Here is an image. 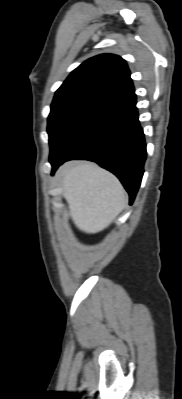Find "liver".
I'll return each instance as SVG.
<instances>
[{
	"mask_svg": "<svg viewBox=\"0 0 182 399\" xmlns=\"http://www.w3.org/2000/svg\"><path fill=\"white\" fill-rule=\"evenodd\" d=\"M59 178L70 216L83 232L104 230L127 205L128 196L119 180L93 163L67 164Z\"/></svg>",
	"mask_w": 182,
	"mask_h": 399,
	"instance_id": "liver-1",
	"label": "liver"
}]
</instances>
